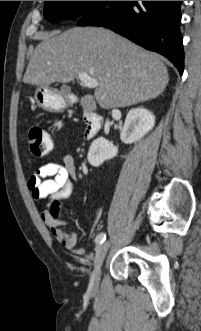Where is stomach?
<instances>
[{"mask_svg": "<svg viewBox=\"0 0 201 331\" xmlns=\"http://www.w3.org/2000/svg\"><path fill=\"white\" fill-rule=\"evenodd\" d=\"M35 100L40 108L48 111H60L67 107L66 101L47 87L35 90Z\"/></svg>", "mask_w": 201, "mask_h": 331, "instance_id": "stomach-1", "label": "stomach"}]
</instances>
